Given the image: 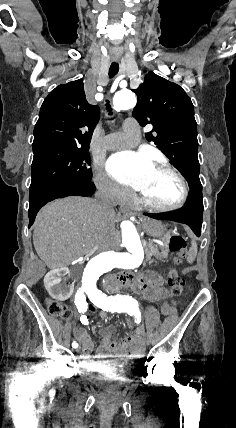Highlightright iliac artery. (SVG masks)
Here are the masks:
<instances>
[{"label":"right iliac artery","mask_w":236,"mask_h":428,"mask_svg":"<svg viewBox=\"0 0 236 428\" xmlns=\"http://www.w3.org/2000/svg\"><path fill=\"white\" fill-rule=\"evenodd\" d=\"M75 305L77 306L78 312H86L88 308V303H86V297L83 292H77L75 295ZM73 348L78 347V343H72Z\"/></svg>","instance_id":"obj_1"}]
</instances>
